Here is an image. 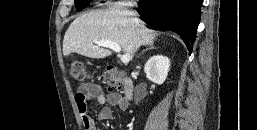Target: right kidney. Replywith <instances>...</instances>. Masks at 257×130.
I'll use <instances>...</instances> for the list:
<instances>
[{"label": "right kidney", "mask_w": 257, "mask_h": 130, "mask_svg": "<svg viewBox=\"0 0 257 130\" xmlns=\"http://www.w3.org/2000/svg\"><path fill=\"white\" fill-rule=\"evenodd\" d=\"M170 67V60L163 55L152 56L145 64L144 71L147 78L161 85L167 78Z\"/></svg>", "instance_id": "1"}]
</instances>
